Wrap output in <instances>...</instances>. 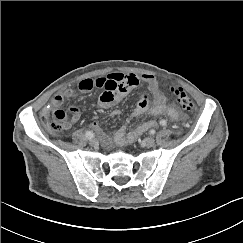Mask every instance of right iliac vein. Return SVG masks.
I'll return each mask as SVG.
<instances>
[{
    "label": "right iliac vein",
    "mask_w": 243,
    "mask_h": 243,
    "mask_svg": "<svg viewBox=\"0 0 243 243\" xmlns=\"http://www.w3.org/2000/svg\"><path fill=\"white\" fill-rule=\"evenodd\" d=\"M89 143H90V145H92V146H95V145H97V139L96 138H91V139H89Z\"/></svg>",
    "instance_id": "right-iliac-vein-1"
}]
</instances>
